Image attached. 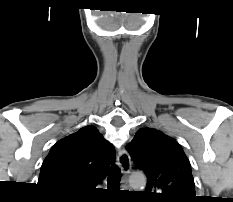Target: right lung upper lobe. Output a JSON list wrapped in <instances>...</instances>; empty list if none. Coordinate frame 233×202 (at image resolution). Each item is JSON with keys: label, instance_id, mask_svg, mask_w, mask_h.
Masks as SVG:
<instances>
[{"label": "right lung upper lobe", "instance_id": "1", "mask_svg": "<svg viewBox=\"0 0 233 202\" xmlns=\"http://www.w3.org/2000/svg\"><path fill=\"white\" fill-rule=\"evenodd\" d=\"M113 145L94 126L58 141L45 158L38 184L57 196H84L108 174Z\"/></svg>", "mask_w": 233, "mask_h": 202}]
</instances>
